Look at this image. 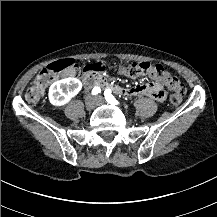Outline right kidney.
Wrapping results in <instances>:
<instances>
[{"label": "right kidney", "instance_id": "ca27d5eb", "mask_svg": "<svg viewBox=\"0 0 217 217\" xmlns=\"http://www.w3.org/2000/svg\"><path fill=\"white\" fill-rule=\"evenodd\" d=\"M82 87V81L75 77H67L58 80L49 88V102L56 107L64 106L80 93Z\"/></svg>", "mask_w": 217, "mask_h": 217}]
</instances>
